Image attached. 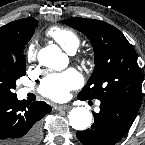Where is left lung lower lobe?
Masks as SVG:
<instances>
[{
  "label": "left lung lower lobe",
  "instance_id": "left-lung-lower-lobe-1",
  "mask_svg": "<svg viewBox=\"0 0 145 145\" xmlns=\"http://www.w3.org/2000/svg\"><path fill=\"white\" fill-rule=\"evenodd\" d=\"M138 109L118 101H101L100 112H93V125L90 129L77 132V138L84 145H114L129 130Z\"/></svg>",
  "mask_w": 145,
  "mask_h": 145
}]
</instances>
